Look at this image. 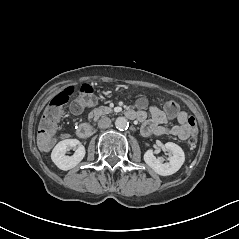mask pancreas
Listing matches in <instances>:
<instances>
[{"label": "pancreas", "mask_w": 239, "mask_h": 239, "mask_svg": "<svg viewBox=\"0 0 239 239\" xmlns=\"http://www.w3.org/2000/svg\"><path fill=\"white\" fill-rule=\"evenodd\" d=\"M112 112V109L110 107L106 106H100L98 108H95L88 114L89 119H94V121H97L100 116L106 115Z\"/></svg>", "instance_id": "cf45deb5"}]
</instances>
